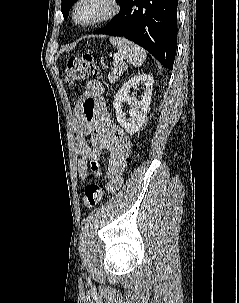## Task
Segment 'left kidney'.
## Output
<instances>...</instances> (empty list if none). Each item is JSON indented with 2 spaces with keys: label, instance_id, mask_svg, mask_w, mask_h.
Returning a JSON list of instances; mask_svg holds the SVG:
<instances>
[{
  "label": "left kidney",
  "instance_id": "left-kidney-1",
  "mask_svg": "<svg viewBox=\"0 0 239 303\" xmlns=\"http://www.w3.org/2000/svg\"><path fill=\"white\" fill-rule=\"evenodd\" d=\"M153 83V77L148 74L132 77L120 88L115 96L113 106L116 110L117 121L130 135L137 133L145 123L146 115L151 103ZM140 84L145 86L142 99L137 100L135 97H130L128 94L130 88ZM123 102H127L131 107L129 110V120L125 118V114L123 113Z\"/></svg>",
  "mask_w": 239,
  "mask_h": 303
}]
</instances>
